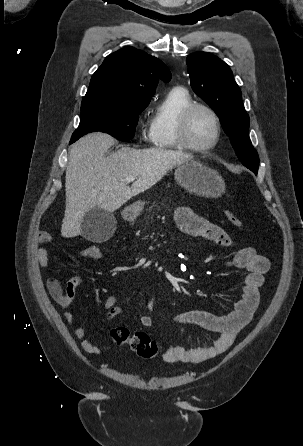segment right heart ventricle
I'll list each match as a JSON object with an SVG mask.
<instances>
[{"label":"right heart ventricle","mask_w":303,"mask_h":446,"mask_svg":"<svg viewBox=\"0 0 303 446\" xmlns=\"http://www.w3.org/2000/svg\"><path fill=\"white\" fill-rule=\"evenodd\" d=\"M193 98L182 87L170 89L157 105L150 122L149 139L159 149H181L177 139V124L181 112Z\"/></svg>","instance_id":"right-heart-ventricle-1"}]
</instances>
